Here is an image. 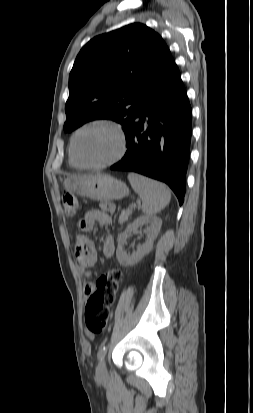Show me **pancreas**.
<instances>
[{
    "mask_svg": "<svg viewBox=\"0 0 253 413\" xmlns=\"http://www.w3.org/2000/svg\"><path fill=\"white\" fill-rule=\"evenodd\" d=\"M132 214L131 209L122 210L119 216V223H124L128 220L129 216Z\"/></svg>",
    "mask_w": 253,
    "mask_h": 413,
    "instance_id": "pancreas-1",
    "label": "pancreas"
}]
</instances>
